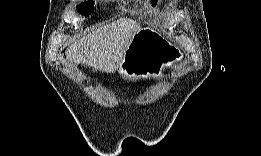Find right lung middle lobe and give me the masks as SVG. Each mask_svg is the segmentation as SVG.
Listing matches in <instances>:
<instances>
[{
    "label": "right lung middle lobe",
    "instance_id": "1",
    "mask_svg": "<svg viewBox=\"0 0 261 156\" xmlns=\"http://www.w3.org/2000/svg\"><path fill=\"white\" fill-rule=\"evenodd\" d=\"M77 11L80 12L82 15L88 16L93 11V1L81 3L78 6Z\"/></svg>",
    "mask_w": 261,
    "mask_h": 156
}]
</instances>
